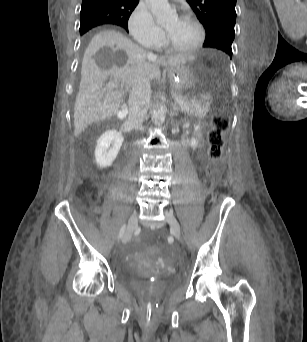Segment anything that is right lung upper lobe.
I'll return each mask as SVG.
<instances>
[{"mask_svg":"<svg viewBox=\"0 0 307 342\" xmlns=\"http://www.w3.org/2000/svg\"><path fill=\"white\" fill-rule=\"evenodd\" d=\"M139 0H82L81 11H104L116 16L114 25L121 26L128 31L127 23L130 14Z\"/></svg>","mask_w":307,"mask_h":342,"instance_id":"cb5924a9","label":"right lung upper lobe"}]
</instances>
